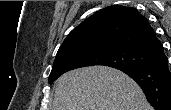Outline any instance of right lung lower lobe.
I'll return each instance as SVG.
<instances>
[{"label":"right lung lower lobe","instance_id":"obj_1","mask_svg":"<svg viewBox=\"0 0 171 110\" xmlns=\"http://www.w3.org/2000/svg\"><path fill=\"white\" fill-rule=\"evenodd\" d=\"M149 64L119 69L135 80L155 110H171V72L161 48Z\"/></svg>","mask_w":171,"mask_h":110}]
</instances>
